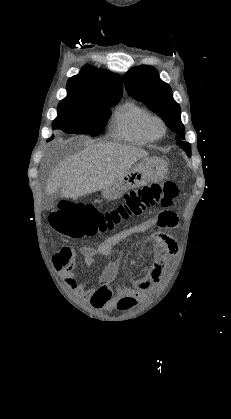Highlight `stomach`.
Masks as SVG:
<instances>
[{"instance_id": "0dacf381", "label": "stomach", "mask_w": 231, "mask_h": 419, "mask_svg": "<svg viewBox=\"0 0 231 419\" xmlns=\"http://www.w3.org/2000/svg\"><path fill=\"white\" fill-rule=\"evenodd\" d=\"M167 171L168 167L164 160L157 157H144L111 186L103 189L102 195L107 200H116L130 189L163 180Z\"/></svg>"}]
</instances>
